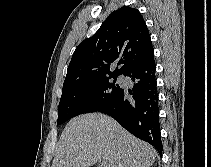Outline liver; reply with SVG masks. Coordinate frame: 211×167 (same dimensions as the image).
Wrapping results in <instances>:
<instances>
[{"mask_svg": "<svg viewBox=\"0 0 211 167\" xmlns=\"http://www.w3.org/2000/svg\"><path fill=\"white\" fill-rule=\"evenodd\" d=\"M157 151L111 117L91 113L73 118L64 128L51 167H150Z\"/></svg>", "mask_w": 211, "mask_h": 167, "instance_id": "1", "label": "liver"}]
</instances>
